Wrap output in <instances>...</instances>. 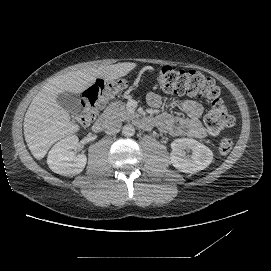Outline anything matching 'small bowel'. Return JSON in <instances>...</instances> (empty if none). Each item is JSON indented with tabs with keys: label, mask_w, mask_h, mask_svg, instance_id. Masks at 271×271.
<instances>
[{
	"label": "small bowel",
	"mask_w": 271,
	"mask_h": 271,
	"mask_svg": "<svg viewBox=\"0 0 271 271\" xmlns=\"http://www.w3.org/2000/svg\"><path fill=\"white\" fill-rule=\"evenodd\" d=\"M162 102V97L157 93L147 95V103L152 108L160 107ZM178 107L185 117H177L166 112L158 118V125L174 136L186 135L192 138H203L206 134L201 121L204 113L203 106L194 100L183 99L178 102Z\"/></svg>",
	"instance_id": "c3829d8e"
}]
</instances>
